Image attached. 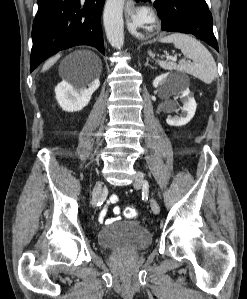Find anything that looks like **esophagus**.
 <instances>
[{
  "label": "esophagus",
  "mask_w": 247,
  "mask_h": 299,
  "mask_svg": "<svg viewBox=\"0 0 247 299\" xmlns=\"http://www.w3.org/2000/svg\"><path fill=\"white\" fill-rule=\"evenodd\" d=\"M133 6H134L133 0H126V3H125L126 9H131V8H133Z\"/></svg>",
  "instance_id": "obj_1"
}]
</instances>
